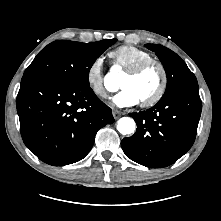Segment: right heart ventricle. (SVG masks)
I'll return each instance as SVG.
<instances>
[{
	"mask_svg": "<svg viewBox=\"0 0 221 221\" xmlns=\"http://www.w3.org/2000/svg\"><path fill=\"white\" fill-rule=\"evenodd\" d=\"M112 59V65L120 67L123 70L131 67L137 62L152 57L151 54L134 45H122L109 52Z\"/></svg>",
	"mask_w": 221,
	"mask_h": 221,
	"instance_id": "1",
	"label": "right heart ventricle"
}]
</instances>
